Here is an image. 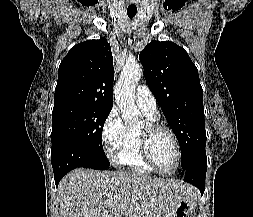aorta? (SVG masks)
I'll return each mask as SVG.
<instances>
[{
  "label": "aorta",
  "instance_id": "obj_1",
  "mask_svg": "<svg viewBox=\"0 0 253 217\" xmlns=\"http://www.w3.org/2000/svg\"><path fill=\"white\" fill-rule=\"evenodd\" d=\"M142 76V68L137 62H127L116 83L114 96L123 120L129 126L141 122V113L135 104V87Z\"/></svg>",
  "mask_w": 253,
  "mask_h": 217
}]
</instances>
